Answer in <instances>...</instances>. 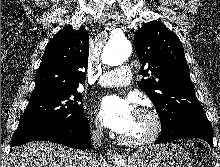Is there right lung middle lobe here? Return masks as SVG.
Wrapping results in <instances>:
<instances>
[{"instance_id": "obj_1", "label": "right lung middle lobe", "mask_w": 220, "mask_h": 167, "mask_svg": "<svg viewBox=\"0 0 220 167\" xmlns=\"http://www.w3.org/2000/svg\"><path fill=\"white\" fill-rule=\"evenodd\" d=\"M80 101H82V95L77 92V87L30 98L20 118L19 126L46 121L72 122L84 113L82 104H79Z\"/></svg>"}]
</instances>
